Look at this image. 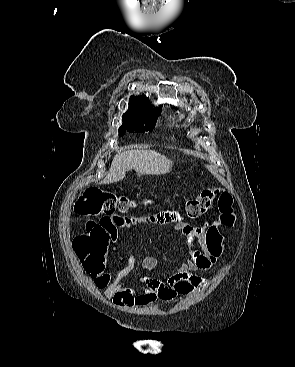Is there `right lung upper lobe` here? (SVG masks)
Instances as JSON below:
<instances>
[{
    "label": "right lung upper lobe",
    "instance_id": "obj_1",
    "mask_svg": "<svg viewBox=\"0 0 295 367\" xmlns=\"http://www.w3.org/2000/svg\"><path fill=\"white\" fill-rule=\"evenodd\" d=\"M142 105H150V101L149 98H147L146 96H131L130 100H129V109L126 113L131 112L132 110H134L136 107L142 106Z\"/></svg>",
    "mask_w": 295,
    "mask_h": 367
}]
</instances>
